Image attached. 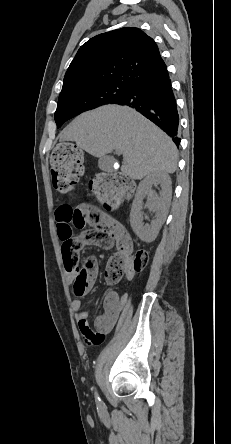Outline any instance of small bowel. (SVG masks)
I'll return each mask as SVG.
<instances>
[{
	"mask_svg": "<svg viewBox=\"0 0 231 444\" xmlns=\"http://www.w3.org/2000/svg\"><path fill=\"white\" fill-rule=\"evenodd\" d=\"M76 210L89 213L95 209L88 204H83ZM72 211L69 204L62 203L55 212L57 233L62 243V255L68 249L78 254L83 247L88 245H96L107 249L112 244L116 246L117 251H126L128 254H131L133 249L131 237L120 222L107 214L99 212L98 220L90 224L93 227L92 230L83 232L79 236H74L73 225L69 220V215ZM66 271L69 279L74 280L76 270L66 268ZM132 277L133 272L128 270L127 279ZM127 299L128 295L126 293L120 296L115 291H108L103 299L104 313L96 317L94 328H91L89 325L88 312L81 309V301L79 299L73 300L72 310L74 317L81 337L87 344L97 345L104 340L105 335L115 327Z\"/></svg>",
	"mask_w": 231,
	"mask_h": 444,
	"instance_id": "1",
	"label": "small bowel"
}]
</instances>
